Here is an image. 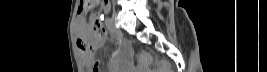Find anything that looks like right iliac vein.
<instances>
[{
	"instance_id": "63e3f726",
	"label": "right iliac vein",
	"mask_w": 267,
	"mask_h": 72,
	"mask_svg": "<svg viewBox=\"0 0 267 72\" xmlns=\"http://www.w3.org/2000/svg\"><path fill=\"white\" fill-rule=\"evenodd\" d=\"M112 19H113V22L116 23L117 19H116V13H113L112 14Z\"/></svg>"
}]
</instances>
